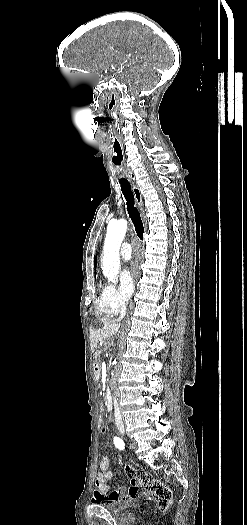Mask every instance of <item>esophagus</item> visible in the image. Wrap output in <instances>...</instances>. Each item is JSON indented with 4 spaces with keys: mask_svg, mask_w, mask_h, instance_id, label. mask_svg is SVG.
I'll return each mask as SVG.
<instances>
[{
    "mask_svg": "<svg viewBox=\"0 0 247 525\" xmlns=\"http://www.w3.org/2000/svg\"><path fill=\"white\" fill-rule=\"evenodd\" d=\"M131 183H132V189H133V192H134V196H135L137 205L140 208V210L143 212L142 195H141L140 189L137 186L135 180H131Z\"/></svg>",
    "mask_w": 247,
    "mask_h": 525,
    "instance_id": "esophagus-1",
    "label": "esophagus"
}]
</instances>
